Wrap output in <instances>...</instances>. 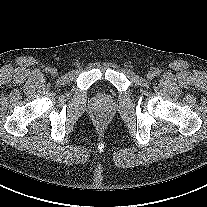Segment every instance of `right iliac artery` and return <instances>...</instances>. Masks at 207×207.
<instances>
[{
  "instance_id": "right-iliac-artery-1",
  "label": "right iliac artery",
  "mask_w": 207,
  "mask_h": 207,
  "mask_svg": "<svg viewBox=\"0 0 207 207\" xmlns=\"http://www.w3.org/2000/svg\"><path fill=\"white\" fill-rule=\"evenodd\" d=\"M45 71H46V72H50V71H51V68H50V67H47V68L45 69Z\"/></svg>"
}]
</instances>
